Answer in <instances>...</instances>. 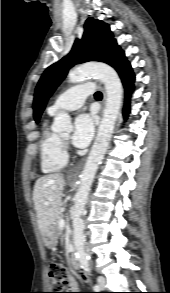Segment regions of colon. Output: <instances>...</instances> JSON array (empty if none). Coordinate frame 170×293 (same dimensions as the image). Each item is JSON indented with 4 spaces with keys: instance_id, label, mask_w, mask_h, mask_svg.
I'll use <instances>...</instances> for the list:
<instances>
[{
    "instance_id": "colon-1",
    "label": "colon",
    "mask_w": 170,
    "mask_h": 293,
    "mask_svg": "<svg viewBox=\"0 0 170 293\" xmlns=\"http://www.w3.org/2000/svg\"><path fill=\"white\" fill-rule=\"evenodd\" d=\"M48 275L54 292L51 293H62L70 285L68 271L59 262L52 261L48 266Z\"/></svg>"
}]
</instances>
